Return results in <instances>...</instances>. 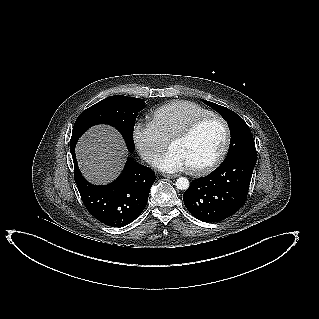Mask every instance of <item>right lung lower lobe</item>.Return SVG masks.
<instances>
[{"mask_svg": "<svg viewBox=\"0 0 319 319\" xmlns=\"http://www.w3.org/2000/svg\"><path fill=\"white\" fill-rule=\"evenodd\" d=\"M76 143H70L74 163V179L82 201L94 218L112 227H123L144 210L154 183V172L129 158L121 175L112 183L96 186L82 176L76 156Z\"/></svg>", "mask_w": 319, "mask_h": 319, "instance_id": "right-lung-lower-lobe-1", "label": "right lung lower lobe"}]
</instances>
